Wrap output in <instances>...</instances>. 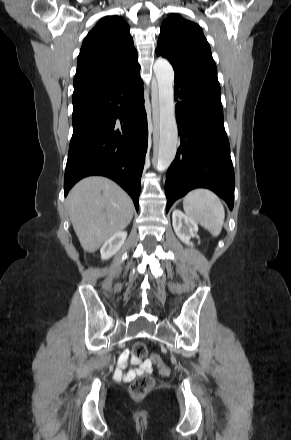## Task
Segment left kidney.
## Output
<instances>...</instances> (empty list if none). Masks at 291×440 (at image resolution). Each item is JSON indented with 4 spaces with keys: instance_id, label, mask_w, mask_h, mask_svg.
<instances>
[{
    "instance_id": "obj_1",
    "label": "left kidney",
    "mask_w": 291,
    "mask_h": 440,
    "mask_svg": "<svg viewBox=\"0 0 291 440\" xmlns=\"http://www.w3.org/2000/svg\"><path fill=\"white\" fill-rule=\"evenodd\" d=\"M172 224L177 237L186 245L192 246L190 239L193 237L198 238L197 223L179 209H175L172 213Z\"/></svg>"
}]
</instances>
